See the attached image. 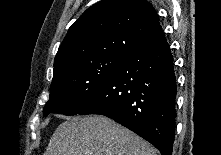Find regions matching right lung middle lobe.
Returning a JSON list of instances; mask_svg holds the SVG:
<instances>
[{"mask_svg":"<svg viewBox=\"0 0 221 155\" xmlns=\"http://www.w3.org/2000/svg\"><path fill=\"white\" fill-rule=\"evenodd\" d=\"M124 56L108 53L80 59L54 73L44 117L50 112L77 115L107 82Z\"/></svg>","mask_w":221,"mask_h":155,"instance_id":"right-lung-middle-lobe-1","label":"right lung middle lobe"}]
</instances>
